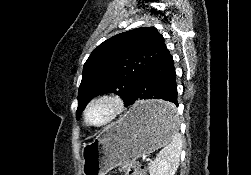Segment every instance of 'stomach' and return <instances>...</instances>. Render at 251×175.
Returning a JSON list of instances; mask_svg holds the SVG:
<instances>
[{"instance_id":"0dacf381","label":"stomach","mask_w":251,"mask_h":175,"mask_svg":"<svg viewBox=\"0 0 251 175\" xmlns=\"http://www.w3.org/2000/svg\"><path fill=\"white\" fill-rule=\"evenodd\" d=\"M172 100H139L122 119L104 127L90 143H83V175H105L113 167L124 165L140 155L152 153L179 134L169 111H175Z\"/></svg>"}]
</instances>
